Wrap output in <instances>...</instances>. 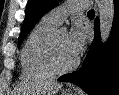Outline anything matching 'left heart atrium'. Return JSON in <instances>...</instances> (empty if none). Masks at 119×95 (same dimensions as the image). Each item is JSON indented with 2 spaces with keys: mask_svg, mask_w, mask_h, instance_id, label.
<instances>
[{
  "mask_svg": "<svg viewBox=\"0 0 119 95\" xmlns=\"http://www.w3.org/2000/svg\"><path fill=\"white\" fill-rule=\"evenodd\" d=\"M86 40V30L84 26L76 21L70 32L67 34V45L70 52L77 58L82 52Z\"/></svg>",
  "mask_w": 119,
  "mask_h": 95,
  "instance_id": "1",
  "label": "left heart atrium"
}]
</instances>
